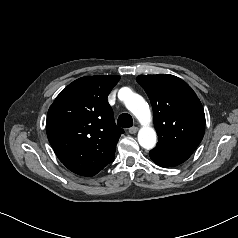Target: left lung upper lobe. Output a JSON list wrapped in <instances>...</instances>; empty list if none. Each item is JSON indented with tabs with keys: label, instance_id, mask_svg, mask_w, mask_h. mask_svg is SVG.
<instances>
[{
	"label": "left lung upper lobe",
	"instance_id": "left-lung-upper-lobe-1",
	"mask_svg": "<svg viewBox=\"0 0 238 238\" xmlns=\"http://www.w3.org/2000/svg\"><path fill=\"white\" fill-rule=\"evenodd\" d=\"M136 80L153 108L156 148L190 157L205 131L204 110L195 92L185 81L170 74L140 75Z\"/></svg>",
	"mask_w": 238,
	"mask_h": 238
}]
</instances>
